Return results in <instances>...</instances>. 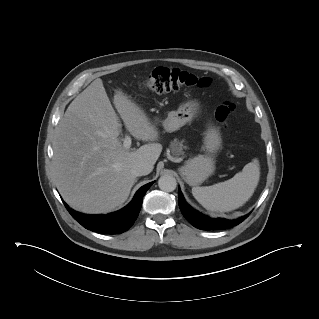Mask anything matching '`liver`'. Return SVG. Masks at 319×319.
Masks as SVG:
<instances>
[{
	"label": "liver",
	"instance_id": "obj_1",
	"mask_svg": "<svg viewBox=\"0 0 319 319\" xmlns=\"http://www.w3.org/2000/svg\"><path fill=\"white\" fill-rule=\"evenodd\" d=\"M114 105L127 131L147 144L133 151L122 145V126L100 78L71 102L57 127L56 187L70 207L83 213L106 214L121 206L135 183L131 166L146 161L153 169L162 151L155 142L156 126L135 102L116 90Z\"/></svg>",
	"mask_w": 319,
	"mask_h": 319
}]
</instances>
